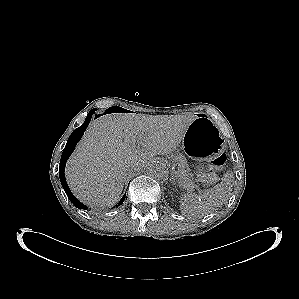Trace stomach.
I'll return each mask as SVG.
<instances>
[{"label":"stomach","instance_id":"0dacf381","mask_svg":"<svg viewBox=\"0 0 299 299\" xmlns=\"http://www.w3.org/2000/svg\"><path fill=\"white\" fill-rule=\"evenodd\" d=\"M186 156L197 163H208L224 149V140L215 123L204 115L196 116L183 138Z\"/></svg>","mask_w":299,"mask_h":299}]
</instances>
